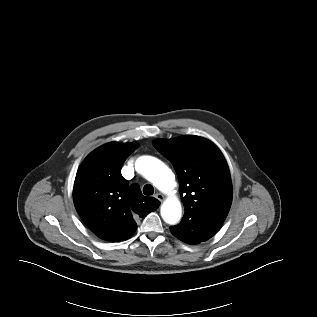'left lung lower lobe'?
Listing matches in <instances>:
<instances>
[{
  "label": "left lung lower lobe",
  "mask_w": 317,
  "mask_h": 317,
  "mask_svg": "<svg viewBox=\"0 0 317 317\" xmlns=\"http://www.w3.org/2000/svg\"><path fill=\"white\" fill-rule=\"evenodd\" d=\"M222 221L211 219H196L188 225L171 226V233L188 244H198L210 239L221 227Z\"/></svg>",
  "instance_id": "left-lung-lower-lobe-1"
}]
</instances>
